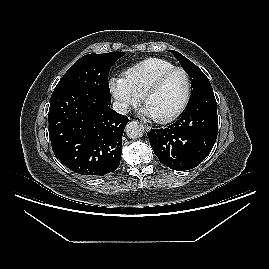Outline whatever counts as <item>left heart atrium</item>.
<instances>
[{
	"label": "left heart atrium",
	"instance_id": "39dd6f15",
	"mask_svg": "<svg viewBox=\"0 0 269 269\" xmlns=\"http://www.w3.org/2000/svg\"><path fill=\"white\" fill-rule=\"evenodd\" d=\"M142 114L147 116V117H152V115L150 114V112L144 107L142 109Z\"/></svg>",
	"mask_w": 269,
	"mask_h": 269
}]
</instances>
